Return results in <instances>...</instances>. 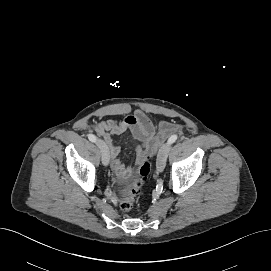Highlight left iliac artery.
I'll use <instances>...</instances> for the list:
<instances>
[{"mask_svg":"<svg viewBox=\"0 0 271 271\" xmlns=\"http://www.w3.org/2000/svg\"><path fill=\"white\" fill-rule=\"evenodd\" d=\"M177 139H178V136H177V135H172V136L168 139L167 144L171 145V144H173L174 142H176Z\"/></svg>","mask_w":271,"mask_h":271,"instance_id":"1","label":"left iliac artery"}]
</instances>
